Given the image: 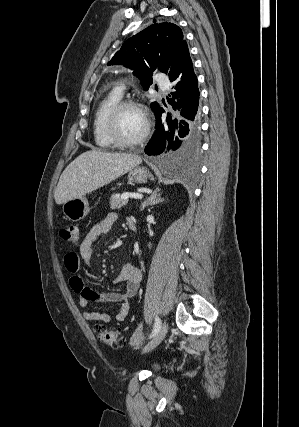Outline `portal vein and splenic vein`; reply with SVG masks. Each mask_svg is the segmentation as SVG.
Masks as SVG:
<instances>
[{
    "label": "portal vein and splenic vein",
    "instance_id": "1",
    "mask_svg": "<svg viewBox=\"0 0 299 427\" xmlns=\"http://www.w3.org/2000/svg\"><path fill=\"white\" fill-rule=\"evenodd\" d=\"M143 196L141 194H129L125 193L121 196L122 199L127 200L128 198L141 199Z\"/></svg>",
    "mask_w": 299,
    "mask_h": 427
}]
</instances>
